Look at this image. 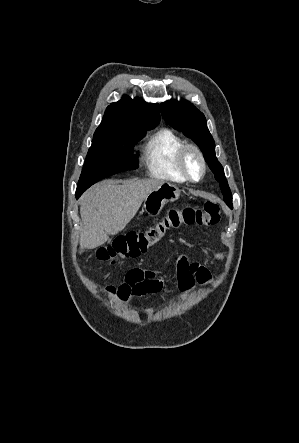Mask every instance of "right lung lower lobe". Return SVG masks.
<instances>
[{
	"instance_id": "obj_1",
	"label": "right lung lower lobe",
	"mask_w": 299,
	"mask_h": 443,
	"mask_svg": "<svg viewBox=\"0 0 299 443\" xmlns=\"http://www.w3.org/2000/svg\"><path fill=\"white\" fill-rule=\"evenodd\" d=\"M82 194V193H81ZM81 194H76V198L78 199L80 197Z\"/></svg>"
}]
</instances>
